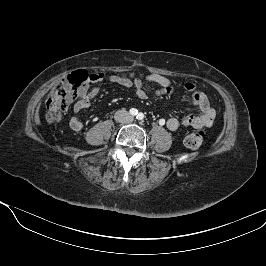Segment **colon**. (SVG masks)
I'll list each match as a JSON object with an SVG mask.
<instances>
[{"label":"colon","instance_id":"5ec220e1","mask_svg":"<svg viewBox=\"0 0 266 266\" xmlns=\"http://www.w3.org/2000/svg\"><path fill=\"white\" fill-rule=\"evenodd\" d=\"M94 73L79 70L66 76L61 83L51 90L46 100V119L50 123H57L63 113L77 98L80 90L94 79ZM204 140V133L196 131L185 138V145L189 149H198Z\"/></svg>","mask_w":266,"mask_h":266}]
</instances>
